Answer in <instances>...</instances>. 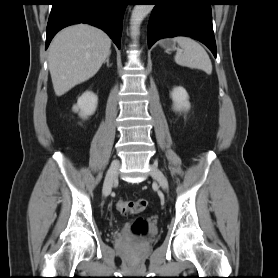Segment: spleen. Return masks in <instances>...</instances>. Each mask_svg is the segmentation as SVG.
Instances as JSON below:
<instances>
[{
  "label": "spleen",
  "mask_w": 278,
  "mask_h": 278,
  "mask_svg": "<svg viewBox=\"0 0 278 278\" xmlns=\"http://www.w3.org/2000/svg\"><path fill=\"white\" fill-rule=\"evenodd\" d=\"M172 41L181 47V51L176 53L174 57L177 64L201 69L207 74L212 73V63L209 55L198 42L184 36L175 37Z\"/></svg>",
  "instance_id": "obj_1"
}]
</instances>
